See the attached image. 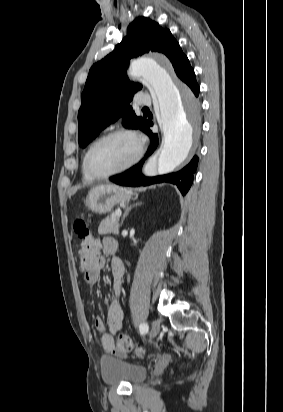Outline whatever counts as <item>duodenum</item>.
Listing matches in <instances>:
<instances>
[{
  "label": "duodenum",
  "instance_id": "410a0bca",
  "mask_svg": "<svg viewBox=\"0 0 283 412\" xmlns=\"http://www.w3.org/2000/svg\"><path fill=\"white\" fill-rule=\"evenodd\" d=\"M117 247H118V245L117 246H112L111 251L114 252L117 249Z\"/></svg>",
  "mask_w": 283,
  "mask_h": 412
}]
</instances>
